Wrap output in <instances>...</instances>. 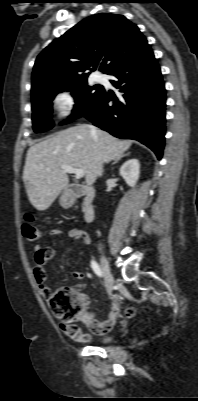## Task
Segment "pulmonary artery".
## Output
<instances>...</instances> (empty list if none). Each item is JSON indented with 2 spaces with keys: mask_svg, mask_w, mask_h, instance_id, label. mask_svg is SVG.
Returning <instances> with one entry per match:
<instances>
[{
  "mask_svg": "<svg viewBox=\"0 0 198 401\" xmlns=\"http://www.w3.org/2000/svg\"><path fill=\"white\" fill-rule=\"evenodd\" d=\"M95 80L97 81V82H102L103 81V77L101 76V75H96V77H95Z\"/></svg>",
  "mask_w": 198,
  "mask_h": 401,
  "instance_id": "obj_1",
  "label": "pulmonary artery"
}]
</instances>
